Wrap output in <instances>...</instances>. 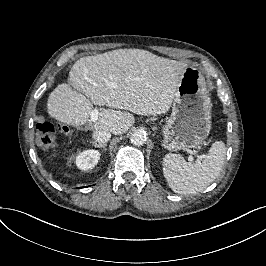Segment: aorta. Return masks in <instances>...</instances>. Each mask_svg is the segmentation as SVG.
<instances>
[{
	"mask_svg": "<svg viewBox=\"0 0 266 266\" xmlns=\"http://www.w3.org/2000/svg\"><path fill=\"white\" fill-rule=\"evenodd\" d=\"M147 139L146 133L142 130L135 131L131 134L130 141L136 146L143 145Z\"/></svg>",
	"mask_w": 266,
	"mask_h": 266,
	"instance_id": "aorta-1",
	"label": "aorta"
}]
</instances>
